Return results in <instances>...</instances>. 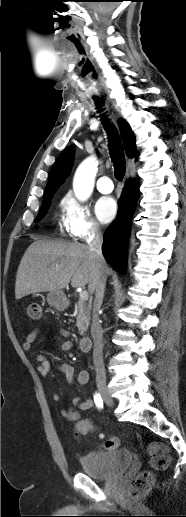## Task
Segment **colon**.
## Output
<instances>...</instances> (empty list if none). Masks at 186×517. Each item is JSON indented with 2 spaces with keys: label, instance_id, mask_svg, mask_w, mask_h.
Masks as SVG:
<instances>
[{
  "label": "colon",
  "instance_id": "1",
  "mask_svg": "<svg viewBox=\"0 0 186 517\" xmlns=\"http://www.w3.org/2000/svg\"><path fill=\"white\" fill-rule=\"evenodd\" d=\"M27 316L33 320L38 321L42 317V308L38 303H30L27 306ZM102 447L107 450L116 449L120 445V441L115 436L104 437ZM147 453L150 457V465L156 470H164L168 467L170 462L169 451L167 447L159 442H151L147 446ZM154 482L153 473L150 471H144L140 473L135 480L131 483L129 495L132 498H139L144 496L152 487Z\"/></svg>",
  "mask_w": 186,
  "mask_h": 517
}]
</instances>
